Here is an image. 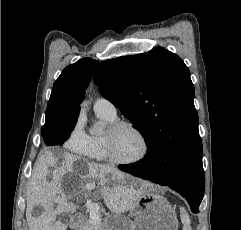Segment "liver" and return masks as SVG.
<instances>
[{
    "mask_svg": "<svg viewBox=\"0 0 241 230\" xmlns=\"http://www.w3.org/2000/svg\"><path fill=\"white\" fill-rule=\"evenodd\" d=\"M45 160V161H44ZM80 157L65 152L62 160L51 153L42 157L39 170L34 174L27 189L26 220L29 230H66L67 226L56 221L55 216L62 212H75L76 206L69 202L70 197L79 194L80 190H91L95 185L101 186V194L108 209L116 214L131 210L143 194V186L137 181H126L121 171L97 163L87 162V170L81 175L75 166ZM47 164L52 168L49 169ZM51 174V181L47 177ZM79 176L80 181L72 193L64 191L65 177ZM114 176L113 182L109 177ZM40 205L42 213L33 216L34 207ZM56 207V208H54Z\"/></svg>",
    "mask_w": 241,
    "mask_h": 230,
    "instance_id": "liver-1",
    "label": "liver"
}]
</instances>
